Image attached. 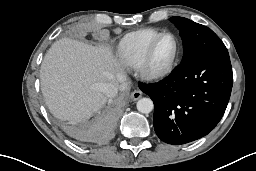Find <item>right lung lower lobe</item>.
<instances>
[{
	"label": "right lung lower lobe",
	"instance_id": "obj_1",
	"mask_svg": "<svg viewBox=\"0 0 256 171\" xmlns=\"http://www.w3.org/2000/svg\"><path fill=\"white\" fill-rule=\"evenodd\" d=\"M125 102L124 96L108 99L94 117L82 124L73 126L69 130V134L84 142L101 143L109 140L114 134Z\"/></svg>",
	"mask_w": 256,
	"mask_h": 171
}]
</instances>
